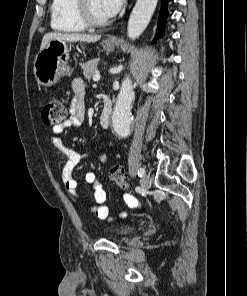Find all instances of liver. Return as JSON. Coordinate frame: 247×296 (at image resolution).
I'll return each instance as SVG.
<instances>
[{"mask_svg": "<svg viewBox=\"0 0 247 296\" xmlns=\"http://www.w3.org/2000/svg\"><path fill=\"white\" fill-rule=\"evenodd\" d=\"M100 38H101L100 35L51 32V33H47L43 36L40 49H43L52 40L68 41V42L83 41V42H88V43H95Z\"/></svg>", "mask_w": 247, "mask_h": 296, "instance_id": "1", "label": "liver"}]
</instances>
